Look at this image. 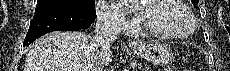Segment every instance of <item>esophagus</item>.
<instances>
[{
	"label": "esophagus",
	"mask_w": 230,
	"mask_h": 71,
	"mask_svg": "<svg viewBox=\"0 0 230 71\" xmlns=\"http://www.w3.org/2000/svg\"><path fill=\"white\" fill-rule=\"evenodd\" d=\"M128 45H129L130 47H137V46H139L140 44L137 43V42H135V41H133V40H130V41H128Z\"/></svg>",
	"instance_id": "1"
}]
</instances>
